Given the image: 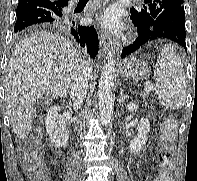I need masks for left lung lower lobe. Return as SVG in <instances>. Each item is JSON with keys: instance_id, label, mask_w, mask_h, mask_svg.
Listing matches in <instances>:
<instances>
[{"instance_id": "1", "label": "left lung lower lobe", "mask_w": 197, "mask_h": 181, "mask_svg": "<svg viewBox=\"0 0 197 181\" xmlns=\"http://www.w3.org/2000/svg\"><path fill=\"white\" fill-rule=\"evenodd\" d=\"M132 22L137 27L138 37L133 44L122 50V58L136 52L147 42L159 38L170 39L187 51L185 42V11L183 6L176 5L163 10L149 26H142L134 21Z\"/></svg>"}]
</instances>
